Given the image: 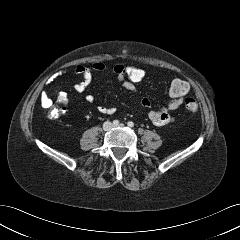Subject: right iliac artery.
Returning <instances> with one entry per match:
<instances>
[{
	"instance_id": "obj_1",
	"label": "right iliac artery",
	"mask_w": 240,
	"mask_h": 240,
	"mask_svg": "<svg viewBox=\"0 0 240 240\" xmlns=\"http://www.w3.org/2000/svg\"><path fill=\"white\" fill-rule=\"evenodd\" d=\"M113 125H114V126H118V125H119V121H118V120H114V121H113Z\"/></svg>"
}]
</instances>
